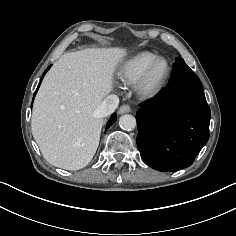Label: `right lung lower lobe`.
Here are the masks:
<instances>
[{
    "label": "right lung lower lobe",
    "mask_w": 236,
    "mask_h": 236,
    "mask_svg": "<svg viewBox=\"0 0 236 236\" xmlns=\"http://www.w3.org/2000/svg\"><path fill=\"white\" fill-rule=\"evenodd\" d=\"M50 67H51V65L48 66V68L44 71V73H43V75H42V79H43L45 73L47 72V70H49ZM42 79H41V80H42ZM40 83H41V82H40ZM39 86H40V84L38 85V88H39ZM38 88H37V89H38ZM36 92H37V90L35 91V94H36ZM35 94H34V96H35ZM115 121H116V113H114V114L111 116V118L109 119V122H108V124H107V126H106V130H107Z\"/></svg>",
    "instance_id": "98d812e1"
}]
</instances>
